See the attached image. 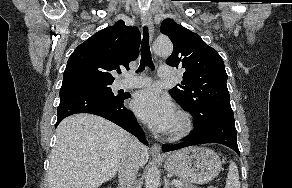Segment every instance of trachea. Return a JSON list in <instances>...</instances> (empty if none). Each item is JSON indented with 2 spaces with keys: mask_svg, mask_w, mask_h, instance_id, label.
Returning <instances> with one entry per match:
<instances>
[{
  "mask_svg": "<svg viewBox=\"0 0 292 188\" xmlns=\"http://www.w3.org/2000/svg\"><path fill=\"white\" fill-rule=\"evenodd\" d=\"M145 66H148L151 69H154L151 52H150V46H149L148 28L146 26L143 28V40L141 44V60H140V66L138 68V71L143 70Z\"/></svg>",
  "mask_w": 292,
  "mask_h": 188,
  "instance_id": "obj_1",
  "label": "trachea"
}]
</instances>
